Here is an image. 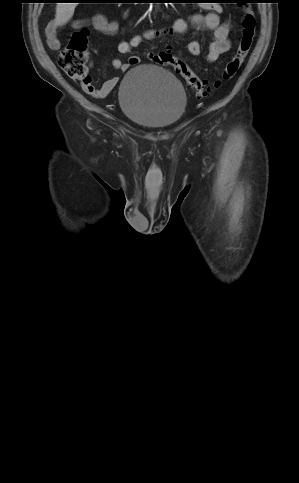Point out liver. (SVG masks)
<instances>
[{
  "mask_svg": "<svg viewBox=\"0 0 299 483\" xmlns=\"http://www.w3.org/2000/svg\"><path fill=\"white\" fill-rule=\"evenodd\" d=\"M77 3H57L56 21L59 25L66 24L73 16Z\"/></svg>",
  "mask_w": 299,
  "mask_h": 483,
  "instance_id": "6515ba94",
  "label": "liver"
}]
</instances>
